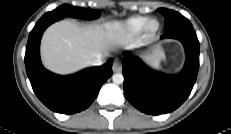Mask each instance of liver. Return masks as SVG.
Segmentation results:
<instances>
[{"label": "liver", "mask_w": 231, "mask_h": 134, "mask_svg": "<svg viewBox=\"0 0 231 134\" xmlns=\"http://www.w3.org/2000/svg\"><path fill=\"white\" fill-rule=\"evenodd\" d=\"M115 46L130 47V40L114 25L79 26L63 20L51 25L44 33L41 43L42 60L46 68L59 74H69L90 65L99 56ZM156 48L152 60L158 56Z\"/></svg>", "instance_id": "6515ba94"}]
</instances>
